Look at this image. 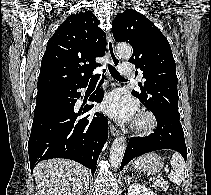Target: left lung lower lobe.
<instances>
[{"mask_svg": "<svg viewBox=\"0 0 211 195\" xmlns=\"http://www.w3.org/2000/svg\"><path fill=\"white\" fill-rule=\"evenodd\" d=\"M157 120V128L148 137H132L127 145L120 170L136 156L147 152L172 149L187 159V147L180 118L166 114L153 113Z\"/></svg>", "mask_w": 211, "mask_h": 195, "instance_id": "obj_1", "label": "left lung lower lobe"}]
</instances>
